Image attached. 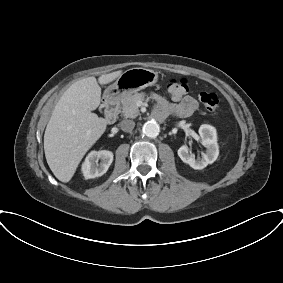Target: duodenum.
Instances as JSON below:
<instances>
[{
  "mask_svg": "<svg viewBox=\"0 0 283 283\" xmlns=\"http://www.w3.org/2000/svg\"><path fill=\"white\" fill-rule=\"evenodd\" d=\"M105 119L109 123H113L118 115V96L117 95H110L105 100ZM158 118H161V116L156 115Z\"/></svg>",
  "mask_w": 283,
  "mask_h": 283,
  "instance_id": "obj_1",
  "label": "duodenum"
}]
</instances>
